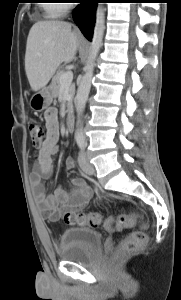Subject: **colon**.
Wrapping results in <instances>:
<instances>
[{
  "mask_svg": "<svg viewBox=\"0 0 181 300\" xmlns=\"http://www.w3.org/2000/svg\"><path fill=\"white\" fill-rule=\"evenodd\" d=\"M31 143L35 148L43 145L46 131L42 125L36 121H31L28 126ZM64 222L70 225L92 226L96 227L103 222V217L99 212H91L88 214L67 213L63 218ZM137 222V215L122 214L116 217H109L105 220V229L108 232L119 231L124 228L133 227ZM147 242V234L144 229H139L127 235L119 244L116 256L124 258L132 252L141 248Z\"/></svg>",
  "mask_w": 181,
  "mask_h": 300,
  "instance_id": "5ec220e1",
  "label": "colon"
}]
</instances>
